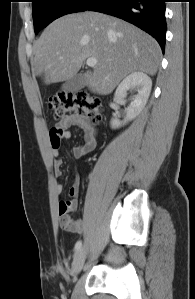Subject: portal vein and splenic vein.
Wrapping results in <instances>:
<instances>
[{"label":"portal vein and splenic vein","instance_id":"obj_1","mask_svg":"<svg viewBox=\"0 0 195 299\" xmlns=\"http://www.w3.org/2000/svg\"><path fill=\"white\" fill-rule=\"evenodd\" d=\"M86 64H87L89 67H95L96 64H97V59H96V58H93V57H90V58L87 59Z\"/></svg>","mask_w":195,"mask_h":299}]
</instances>
